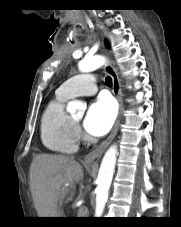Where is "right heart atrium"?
Listing matches in <instances>:
<instances>
[{"instance_id":"right-heart-atrium-1","label":"right heart atrium","mask_w":181,"mask_h":227,"mask_svg":"<svg viewBox=\"0 0 181 227\" xmlns=\"http://www.w3.org/2000/svg\"><path fill=\"white\" fill-rule=\"evenodd\" d=\"M75 130H76L77 136L80 137L81 136V130H80L78 125H75Z\"/></svg>"}]
</instances>
